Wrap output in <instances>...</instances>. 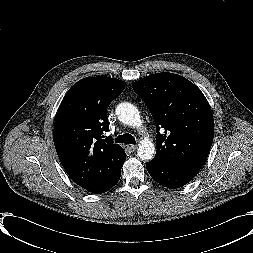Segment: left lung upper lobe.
I'll list each match as a JSON object with an SVG mask.
<instances>
[{"label": "left lung upper lobe", "mask_w": 253, "mask_h": 253, "mask_svg": "<svg viewBox=\"0 0 253 253\" xmlns=\"http://www.w3.org/2000/svg\"><path fill=\"white\" fill-rule=\"evenodd\" d=\"M133 89L156 123L157 151L152 161L202 167L212 145L214 120L200 89L186 78L167 72L140 79Z\"/></svg>", "instance_id": "obj_1"}]
</instances>
